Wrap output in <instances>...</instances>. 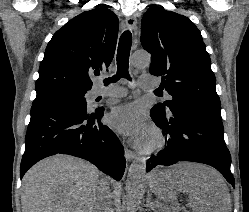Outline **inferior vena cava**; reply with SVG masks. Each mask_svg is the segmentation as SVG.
I'll return each mask as SVG.
<instances>
[{"mask_svg":"<svg viewBox=\"0 0 249 212\" xmlns=\"http://www.w3.org/2000/svg\"><path fill=\"white\" fill-rule=\"evenodd\" d=\"M109 184L105 180H100L97 186V196L92 206L93 212H113L110 202Z\"/></svg>","mask_w":249,"mask_h":212,"instance_id":"602c4592","label":"inferior vena cava"}]
</instances>
